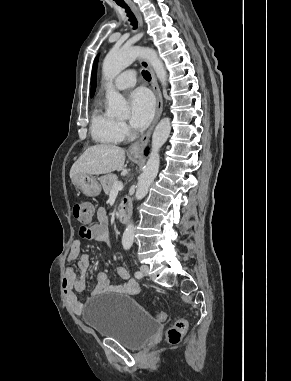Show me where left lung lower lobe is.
<instances>
[{
  "label": "left lung lower lobe",
  "instance_id": "left-lung-lower-lobe-1",
  "mask_svg": "<svg viewBox=\"0 0 291 381\" xmlns=\"http://www.w3.org/2000/svg\"><path fill=\"white\" fill-rule=\"evenodd\" d=\"M147 153H148V150L145 151V154H147Z\"/></svg>",
  "mask_w": 291,
  "mask_h": 381
}]
</instances>
